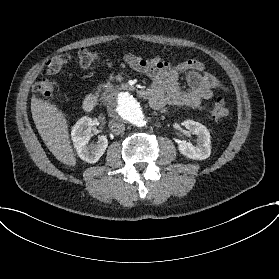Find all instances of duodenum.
<instances>
[{
  "instance_id": "410a0bca",
  "label": "duodenum",
  "mask_w": 279,
  "mask_h": 279,
  "mask_svg": "<svg viewBox=\"0 0 279 279\" xmlns=\"http://www.w3.org/2000/svg\"><path fill=\"white\" fill-rule=\"evenodd\" d=\"M107 90L111 92H118V91L128 90V87L125 84H119L116 86H110L107 88ZM138 94L140 97L148 96L147 91H139ZM96 106H97V97L94 94H88L83 101V109L86 112H91L95 109Z\"/></svg>"
}]
</instances>
